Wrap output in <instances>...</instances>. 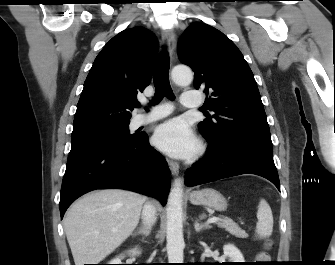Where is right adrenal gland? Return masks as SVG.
I'll return each mask as SVG.
<instances>
[{
	"label": "right adrenal gland",
	"instance_id": "1",
	"mask_svg": "<svg viewBox=\"0 0 335 265\" xmlns=\"http://www.w3.org/2000/svg\"><path fill=\"white\" fill-rule=\"evenodd\" d=\"M151 232V227L149 225H143L140 228H138L132 235L136 236V235H143L145 237L149 236Z\"/></svg>",
	"mask_w": 335,
	"mask_h": 265
}]
</instances>
